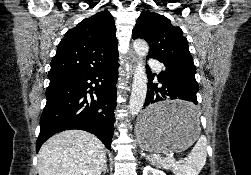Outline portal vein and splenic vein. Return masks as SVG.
I'll list each match as a JSON object with an SVG mask.
<instances>
[{"label": "portal vein and splenic vein", "mask_w": 251, "mask_h": 175, "mask_svg": "<svg viewBox=\"0 0 251 175\" xmlns=\"http://www.w3.org/2000/svg\"><path fill=\"white\" fill-rule=\"evenodd\" d=\"M167 158H174L175 157V152L174 151H170L169 153L166 154Z\"/></svg>", "instance_id": "obj_1"}]
</instances>
